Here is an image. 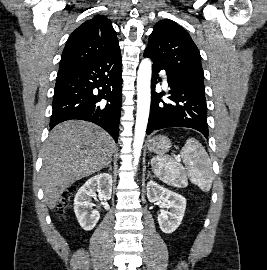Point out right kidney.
<instances>
[{"instance_id":"right-kidney-1","label":"right kidney","mask_w":267,"mask_h":270,"mask_svg":"<svg viewBox=\"0 0 267 270\" xmlns=\"http://www.w3.org/2000/svg\"><path fill=\"white\" fill-rule=\"evenodd\" d=\"M112 183L111 175L101 173L88 179L77 191L74 198V212L81 228L84 230H92L100 218L98 211L93 210L91 214L88 211V208L94 205L91 198H96V192H98L100 200L111 199Z\"/></svg>"}]
</instances>
